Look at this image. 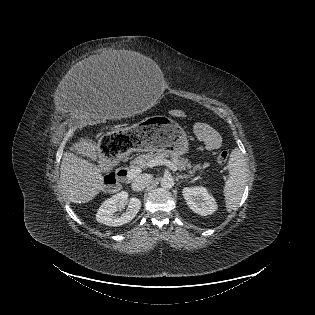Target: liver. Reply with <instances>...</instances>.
<instances>
[{"mask_svg": "<svg viewBox=\"0 0 315 315\" xmlns=\"http://www.w3.org/2000/svg\"><path fill=\"white\" fill-rule=\"evenodd\" d=\"M120 55L117 54V56L111 58L105 54L92 56L88 60L83 61L79 67L81 70L89 68L92 71H100V68L116 69L118 68L117 57H120ZM113 128L114 130L109 132V134L120 130L119 126H114ZM69 149L90 158L91 161L99 163V165L91 163L89 160L78 157L71 151H66L63 154L60 167V183L65 197L69 202L87 203L104 190L101 172L104 163L108 159L101 154L100 144L87 137H81Z\"/></svg>", "mask_w": 315, "mask_h": 315, "instance_id": "obj_1", "label": "liver"}]
</instances>
